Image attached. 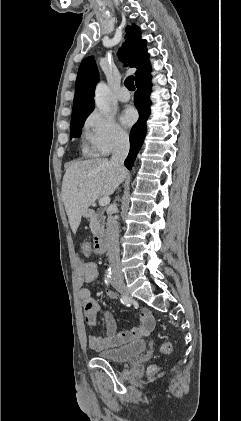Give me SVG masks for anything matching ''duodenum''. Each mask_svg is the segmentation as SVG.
Returning a JSON list of instances; mask_svg holds the SVG:
<instances>
[{
  "label": "duodenum",
  "mask_w": 241,
  "mask_h": 421,
  "mask_svg": "<svg viewBox=\"0 0 241 421\" xmlns=\"http://www.w3.org/2000/svg\"><path fill=\"white\" fill-rule=\"evenodd\" d=\"M85 215L87 217H92L94 216V211L93 210H87L85 212ZM93 247L96 248V254L98 255H102L106 252L107 249V241H106V237L103 233H97L94 238H93Z\"/></svg>",
  "instance_id": "duodenum-1"
}]
</instances>
